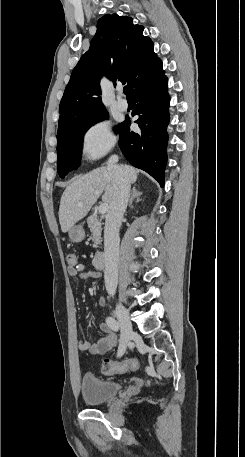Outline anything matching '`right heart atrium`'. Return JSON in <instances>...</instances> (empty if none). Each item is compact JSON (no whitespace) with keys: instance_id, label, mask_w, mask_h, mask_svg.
<instances>
[{"instance_id":"obj_1","label":"right heart atrium","mask_w":245,"mask_h":457,"mask_svg":"<svg viewBox=\"0 0 245 457\" xmlns=\"http://www.w3.org/2000/svg\"><path fill=\"white\" fill-rule=\"evenodd\" d=\"M85 152L91 157L102 156L114 143L109 124L99 121L90 126L83 135Z\"/></svg>"}]
</instances>
